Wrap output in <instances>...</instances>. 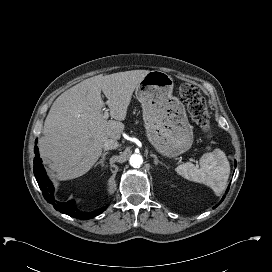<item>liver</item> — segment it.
I'll list each match as a JSON object with an SVG mask.
<instances>
[{
  "mask_svg": "<svg viewBox=\"0 0 272 272\" xmlns=\"http://www.w3.org/2000/svg\"><path fill=\"white\" fill-rule=\"evenodd\" d=\"M148 70H131L97 75L63 92L46 117L38 147L41 157L58 180L87 173L102 154L107 139L119 140L132 94ZM108 99L110 116L103 118Z\"/></svg>",
  "mask_w": 272,
  "mask_h": 272,
  "instance_id": "6515ba94",
  "label": "liver"
}]
</instances>
